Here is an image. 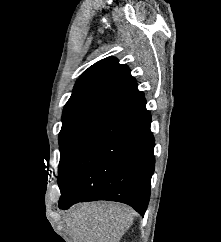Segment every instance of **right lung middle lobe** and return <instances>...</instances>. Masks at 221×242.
I'll use <instances>...</instances> for the list:
<instances>
[{"instance_id":"right-lung-middle-lobe-1","label":"right lung middle lobe","mask_w":221,"mask_h":242,"mask_svg":"<svg viewBox=\"0 0 221 242\" xmlns=\"http://www.w3.org/2000/svg\"><path fill=\"white\" fill-rule=\"evenodd\" d=\"M99 125V123L87 122L64 126L61 128L59 134L60 163L58 169V180L64 172L70 158Z\"/></svg>"}]
</instances>
